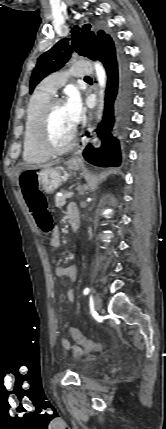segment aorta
I'll return each mask as SVG.
<instances>
[{"label": "aorta", "mask_w": 166, "mask_h": 429, "mask_svg": "<svg viewBox=\"0 0 166 429\" xmlns=\"http://www.w3.org/2000/svg\"><path fill=\"white\" fill-rule=\"evenodd\" d=\"M95 70L97 74V80L102 89H104L106 85V73L103 68V66L100 63H95ZM101 94H103V90L101 91Z\"/></svg>", "instance_id": "1"}]
</instances>
